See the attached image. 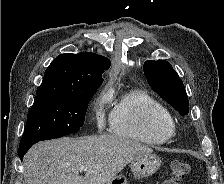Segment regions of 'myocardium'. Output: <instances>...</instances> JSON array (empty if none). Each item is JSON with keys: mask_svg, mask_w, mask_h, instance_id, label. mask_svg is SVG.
Instances as JSON below:
<instances>
[{"mask_svg": "<svg viewBox=\"0 0 224 184\" xmlns=\"http://www.w3.org/2000/svg\"><path fill=\"white\" fill-rule=\"evenodd\" d=\"M169 133H170L171 136L175 133V126H174V124H172V125L170 126V128H169Z\"/></svg>", "mask_w": 224, "mask_h": 184, "instance_id": "1", "label": "myocardium"}]
</instances>
